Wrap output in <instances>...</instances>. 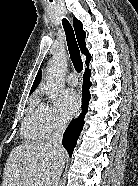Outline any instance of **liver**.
Here are the masks:
<instances>
[{"instance_id": "liver-1", "label": "liver", "mask_w": 138, "mask_h": 186, "mask_svg": "<svg viewBox=\"0 0 138 186\" xmlns=\"http://www.w3.org/2000/svg\"><path fill=\"white\" fill-rule=\"evenodd\" d=\"M65 151L44 142H28L12 149L5 164L2 186H34V181L43 182L54 162Z\"/></svg>"}]
</instances>
